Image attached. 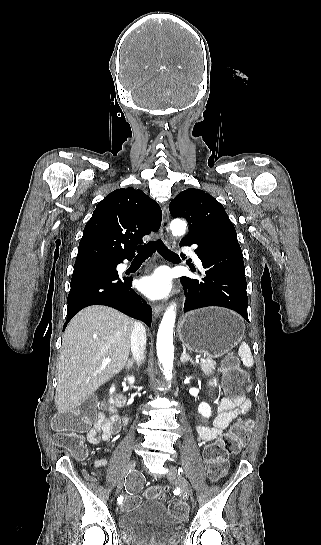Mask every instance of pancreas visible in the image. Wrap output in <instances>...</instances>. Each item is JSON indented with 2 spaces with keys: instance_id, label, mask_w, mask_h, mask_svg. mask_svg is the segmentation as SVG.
Masks as SVG:
<instances>
[{
  "instance_id": "pancreas-1",
  "label": "pancreas",
  "mask_w": 321,
  "mask_h": 545,
  "mask_svg": "<svg viewBox=\"0 0 321 545\" xmlns=\"http://www.w3.org/2000/svg\"><path fill=\"white\" fill-rule=\"evenodd\" d=\"M215 365H217L216 361L206 359L205 363H200L201 371H203L204 375H214Z\"/></svg>"
}]
</instances>
